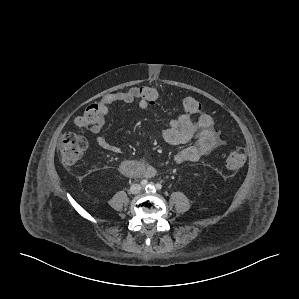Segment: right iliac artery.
I'll list each match as a JSON object with an SVG mask.
<instances>
[{"mask_svg": "<svg viewBox=\"0 0 299 299\" xmlns=\"http://www.w3.org/2000/svg\"><path fill=\"white\" fill-rule=\"evenodd\" d=\"M147 184H148V181H147V180L144 179V180L141 181V185H142V186H147Z\"/></svg>", "mask_w": 299, "mask_h": 299, "instance_id": "right-iliac-artery-1", "label": "right iliac artery"}]
</instances>
